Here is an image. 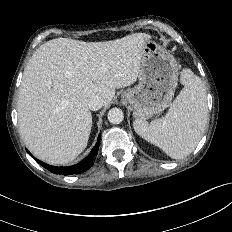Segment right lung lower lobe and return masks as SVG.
<instances>
[{
    "label": "right lung lower lobe",
    "mask_w": 232,
    "mask_h": 232,
    "mask_svg": "<svg viewBox=\"0 0 232 232\" xmlns=\"http://www.w3.org/2000/svg\"><path fill=\"white\" fill-rule=\"evenodd\" d=\"M100 139H101V136L99 135L96 145L93 147L90 154L83 161H81L80 163L76 165L69 166V167H55V166L48 165L36 159L34 156L31 155V153L28 150L27 152L29 153V155H31V157L35 159L36 162H38L41 166H43L44 168H46L47 170H49L50 172L54 174H63V175L79 174V173L85 172L94 164L95 157L98 154V147L100 146Z\"/></svg>",
    "instance_id": "right-lung-lower-lobe-1"
}]
</instances>
